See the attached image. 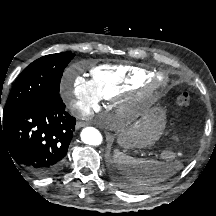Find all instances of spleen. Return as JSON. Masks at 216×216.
Instances as JSON below:
<instances>
[{
  "label": "spleen",
  "instance_id": "obj_1",
  "mask_svg": "<svg viewBox=\"0 0 216 216\" xmlns=\"http://www.w3.org/2000/svg\"><path fill=\"white\" fill-rule=\"evenodd\" d=\"M114 162L118 169L140 189L163 182L175 173V170L170 169L165 162L133 158L119 150L114 151Z\"/></svg>",
  "mask_w": 216,
  "mask_h": 216
}]
</instances>
